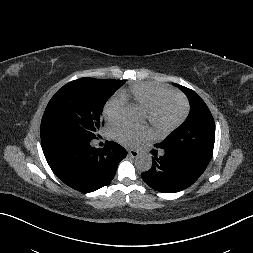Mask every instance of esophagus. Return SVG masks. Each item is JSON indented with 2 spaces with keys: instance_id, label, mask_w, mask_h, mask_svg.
<instances>
[{
  "instance_id": "esophagus-1",
  "label": "esophagus",
  "mask_w": 253,
  "mask_h": 253,
  "mask_svg": "<svg viewBox=\"0 0 253 253\" xmlns=\"http://www.w3.org/2000/svg\"><path fill=\"white\" fill-rule=\"evenodd\" d=\"M128 155L132 158H137L139 156V152L137 150L130 149L128 150Z\"/></svg>"
}]
</instances>
